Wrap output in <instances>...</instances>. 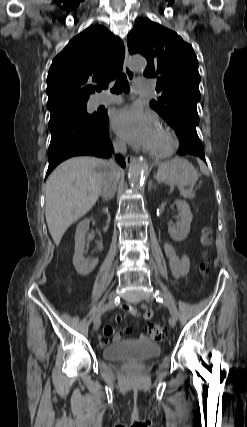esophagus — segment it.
I'll return each instance as SVG.
<instances>
[{
	"label": "esophagus",
	"instance_id": "1",
	"mask_svg": "<svg viewBox=\"0 0 247 427\" xmlns=\"http://www.w3.org/2000/svg\"><path fill=\"white\" fill-rule=\"evenodd\" d=\"M124 46H125V58H124L123 70H124V73L126 74L128 80L132 81L135 78V73L129 67V64H128V56H129V54H128V49H127V45H126L125 41H124ZM125 160H126L127 166H129L135 160V157L132 156V155H127L126 158H125Z\"/></svg>",
	"mask_w": 247,
	"mask_h": 427
}]
</instances>
